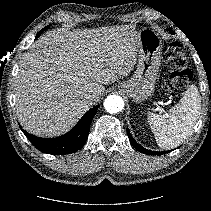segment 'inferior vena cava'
I'll return each instance as SVG.
<instances>
[{"label": "inferior vena cava", "mask_w": 211, "mask_h": 211, "mask_svg": "<svg viewBox=\"0 0 211 211\" xmlns=\"http://www.w3.org/2000/svg\"><path fill=\"white\" fill-rule=\"evenodd\" d=\"M98 101V97L94 94H86L85 96V102H87L88 104L92 105L95 102Z\"/></svg>", "instance_id": "inferior-vena-cava-1"}]
</instances>
